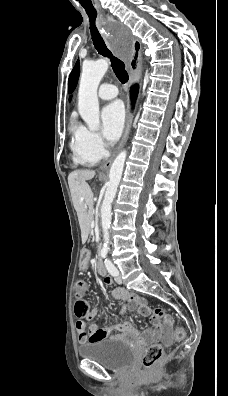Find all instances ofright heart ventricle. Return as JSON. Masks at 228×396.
Segmentation results:
<instances>
[{"mask_svg": "<svg viewBox=\"0 0 228 396\" xmlns=\"http://www.w3.org/2000/svg\"><path fill=\"white\" fill-rule=\"evenodd\" d=\"M73 153H74V158L75 161L86 166H92L96 164L99 159L87 152L82 144L80 143L78 137H77V129L74 131V138L72 140L71 144Z\"/></svg>", "mask_w": 228, "mask_h": 396, "instance_id": "1", "label": "right heart ventricle"}]
</instances>
